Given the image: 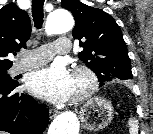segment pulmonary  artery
I'll use <instances>...</instances> for the list:
<instances>
[{
    "instance_id": "obj_1",
    "label": "pulmonary artery",
    "mask_w": 153,
    "mask_h": 134,
    "mask_svg": "<svg viewBox=\"0 0 153 134\" xmlns=\"http://www.w3.org/2000/svg\"><path fill=\"white\" fill-rule=\"evenodd\" d=\"M70 48V40L67 37H60L54 43L24 52L22 59L14 64L13 70L15 73H20L44 65L56 54H67Z\"/></svg>"
}]
</instances>
